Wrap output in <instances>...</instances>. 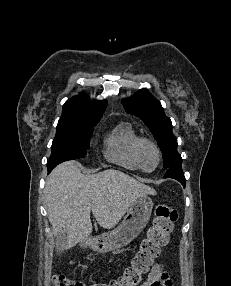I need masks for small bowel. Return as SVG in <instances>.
I'll list each match as a JSON object with an SVG mask.
<instances>
[{
	"label": "small bowel",
	"mask_w": 231,
	"mask_h": 286,
	"mask_svg": "<svg viewBox=\"0 0 231 286\" xmlns=\"http://www.w3.org/2000/svg\"><path fill=\"white\" fill-rule=\"evenodd\" d=\"M140 286H173V283L164 264L158 262L152 266L147 279Z\"/></svg>",
	"instance_id": "obj_1"
}]
</instances>
